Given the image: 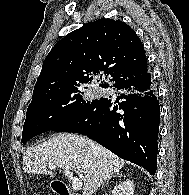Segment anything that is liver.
I'll return each instance as SVG.
<instances>
[{
  "label": "liver",
  "mask_w": 189,
  "mask_h": 195,
  "mask_svg": "<svg viewBox=\"0 0 189 195\" xmlns=\"http://www.w3.org/2000/svg\"><path fill=\"white\" fill-rule=\"evenodd\" d=\"M125 161L93 140L60 133L23 154V170L32 174L56 175L47 166L74 172L83 182L82 195H92L100 185L123 168Z\"/></svg>",
  "instance_id": "obj_1"
}]
</instances>
